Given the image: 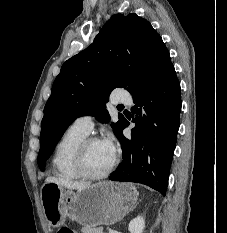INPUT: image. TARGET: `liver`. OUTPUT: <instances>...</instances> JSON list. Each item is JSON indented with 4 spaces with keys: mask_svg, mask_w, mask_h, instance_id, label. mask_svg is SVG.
<instances>
[{
    "mask_svg": "<svg viewBox=\"0 0 227 233\" xmlns=\"http://www.w3.org/2000/svg\"><path fill=\"white\" fill-rule=\"evenodd\" d=\"M54 183L70 190H81L91 186L90 182H77L62 177H47L45 183Z\"/></svg>",
    "mask_w": 227,
    "mask_h": 233,
    "instance_id": "liver-1",
    "label": "liver"
}]
</instances>
